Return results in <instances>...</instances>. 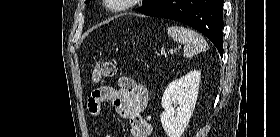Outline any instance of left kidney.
Segmentation results:
<instances>
[{
	"label": "left kidney",
	"instance_id": "5707ae66",
	"mask_svg": "<svg viewBox=\"0 0 280 137\" xmlns=\"http://www.w3.org/2000/svg\"><path fill=\"white\" fill-rule=\"evenodd\" d=\"M201 72L191 71L174 80L162 97L164 111L160 115L162 127L168 137H181L195 108Z\"/></svg>",
	"mask_w": 280,
	"mask_h": 137
}]
</instances>
